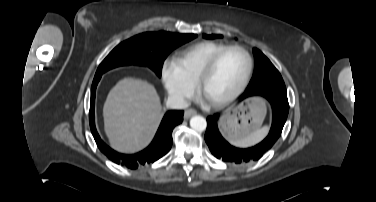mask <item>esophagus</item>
I'll list each match as a JSON object with an SVG mask.
<instances>
[{
    "mask_svg": "<svg viewBox=\"0 0 376 202\" xmlns=\"http://www.w3.org/2000/svg\"><path fill=\"white\" fill-rule=\"evenodd\" d=\"M196 113H197V112H196L194 109H192V108L187 109V110L185 111V113H184V118H185V119H188V118H190V117L196 115Z\"/></svg>",
    "mask_w": 376,
    "mask_h": 202,
    "instance_id": "34e87169",
    "label": "esophagus"
}]
</instances>
